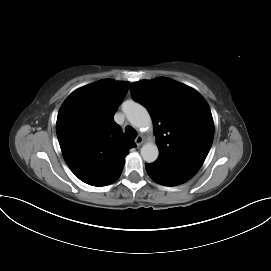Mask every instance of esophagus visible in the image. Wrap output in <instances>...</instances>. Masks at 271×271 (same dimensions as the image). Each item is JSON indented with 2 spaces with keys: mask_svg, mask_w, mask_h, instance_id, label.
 Wrapping results in <instances>:
<instances>
[{
  "mask_svg": "<svg viewBox=\"0 0 271 271\" xmlns=\"http://www.w3.org/2000/svg\"><path fill=\"white\" fill-rule=\"evenodd\" d=\"M144 142V137L142 135H138L135 139V143L137 146H141Z\"/></svg>",
  "mask_w": 271,
  "mask_h": 271,
  "instance_id": "obj_1",
  "label": "esophagus"
}]
</instances>
